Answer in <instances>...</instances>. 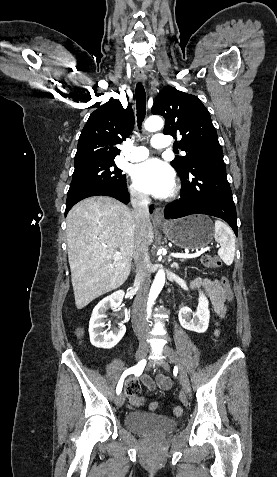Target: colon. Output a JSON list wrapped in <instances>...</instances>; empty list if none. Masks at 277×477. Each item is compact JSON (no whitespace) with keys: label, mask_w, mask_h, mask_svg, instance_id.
<instances>
[{"label":"colon","mask_w":277,"mask_h":477,"mask_svg":"<svg viewBox=\"0 0 277 477\" xmlns=\"http://www.w3.org/2000/svg\"><path fill=\"white\" fill-rule=\"evenodd\" d=\"M201 264L203 268H219L222 266V261L216 257L211 255H204L201 257ZM221 284L223 286V291L225 292V302L227 304H233L235 302V293L232 286L229 284V281L226 277L221 278ZM77 335H82V330H77ZM127 391L129 394L130 403L133 406H140L143 403V399L139 396V389L136 384L130 383L128 384ZM159 404L157 402H152L150 404V409L152 411L157 410ZM183 412L182 407L176 406L173 409V413L177 416L181 415Z\"/></svg>","instance_id":"obj_1"}]
</instances>
